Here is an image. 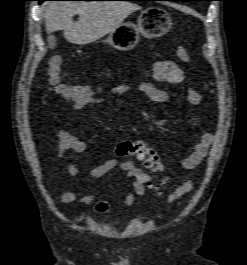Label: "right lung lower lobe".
I'll use <instances>...</instances> for the list:
<instances>
[{
    "instance_id": "right-lung-lower-lobe-1",
    "label": "right lung lower lobe",
    "mask_w": 247,
    "mask_h": 265,
    "mask_svg": "<svg viewBox=\"0 0 247 265\" xmlns=\"http://www.w3.org/2000/svg\"><path fill=\"white\" fill-rule=\"evenodd\" d=\"M37 1H39V3H42L43 2L42 0H37Z\"/></svg>"
}]
</instances>
